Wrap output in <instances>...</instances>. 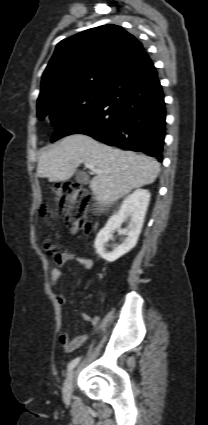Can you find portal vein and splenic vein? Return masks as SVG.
<instances>
[{
    "label": "portal vein and splenic vein",
    "instance_id": "obj_1",
    "mask_svg": "<svg viewBox=\"0 0 208 425\" xmlns=\"http://www.w3.org/2000/svg\"><path fill=\"white\" fill-rule=\"evenodd\" d=\"M85 167L88 168L89 170L93 171L94 173H101L100 169H97L92 163L90 162H86L85 163Z\"/></svg>",
    "mask_w": 208,
    "mask_h": 425
}]
</instances>
